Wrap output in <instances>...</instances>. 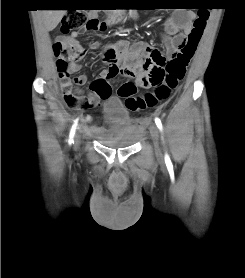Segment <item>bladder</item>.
I'll use <instances>...</instances> for the list:
<instances>
[{
    "instance_id": "1",
    "label": "bladder",
    "mask_w": 245,
    "mask_h": 278,
    "mask_svg": "<svg viewBox=\"0 0 245 278\" xmlns=\"http://www.w3.org/2000/svg\"><path fill=\"white\" fill-rule=\"evenodd\" d=\"M105 127L101 130L99 139L107 146L128 148L133 146L138 138L133 126V117L129 109L119 97H109L104 103Z\"/></svg>"
}]
</instances>
